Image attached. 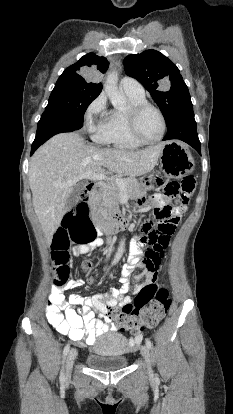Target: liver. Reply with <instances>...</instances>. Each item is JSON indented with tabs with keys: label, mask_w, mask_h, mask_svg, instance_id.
Segmentation results:
<instances>
[{
	"label": "liver",
	"mask_w": 233,
	"mask_h": 414,
	"mask_svg": "<svg viewBox=\"0 0 233 414\" xmlns=\"http://www.w3.org/2000/svg\"><path fill=\"white\" fill-rule=\"evenodd\" d=\"M163 143L142 150L99 148L75 132L59 133L44 143L29 163L34 211L48 244L66 213L73 186L87 173L141 176L154 169Z\"/></svg>",
	"instance_id": "liver-1"
}]
</instances>
